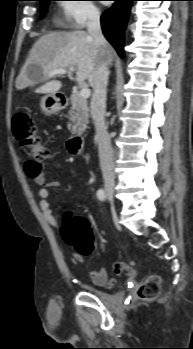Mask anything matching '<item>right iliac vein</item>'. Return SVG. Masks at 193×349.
Instances as JSON below:
<instances>
[{
    "instance_id": "63e3f726",
    "label": "right iliac vein",
    "mask_w": 193,
    "mask_h": 349,
    "mask_svg": "<svg viewBox=\"0 0 193 349\" xmlns=\"http://www.w3.org/2000/svg\"><path fill=\"white\" fill-rule=\"evenodd\" d=\"M107 193H108V195L113 196V194H114V189H113V188H108V189H107Z\"/></svg>"
}]
</instances>
